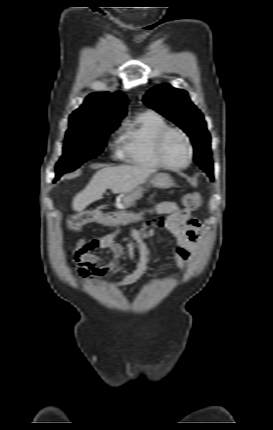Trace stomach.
<instances>
[{
    "label": "stomach",
    "mask_w": 273,
    "mask_h": 430,
    "mask_svg": "<svg viewBox=\"0 0 273 430\" xmlns=\"http://www.w3.org/2000/svg\"><path fill=\"white\" fill-rule=\"evenodd\" d=\"M149 182L155 187L159 188H170L175 186L171 176L167 173H155L151 174L146 180L133 188L131 191L124 193L119 196V202H116L117 208H128L130 207L137 199L141 198L142 192L144 190L143 184Z\"/></svg>",
    "instance_id": "stomach-1"
}]
</instances>
